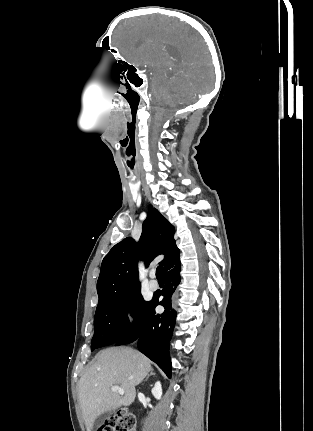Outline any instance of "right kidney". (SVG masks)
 <instances>
[{"label": "right kidney", "mask_w": 313, "mask_h": 431, "mask_svg": "<svg viewBox=\"0 0 313 431\" xmlns=\"http://www.w3.org/2000/svg\"><path fill=\"white\" fill-rule=\"evenodd\" d=\"M152 395L157 399L160 400L162 396V387L161 383L158 381L155 383L154 387L151 390Z\"/></svg>", "instance_id": "obj_1"}]
</instances>
